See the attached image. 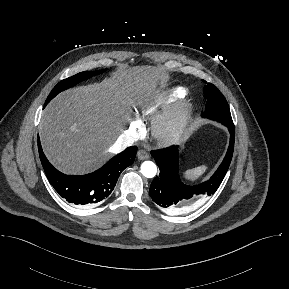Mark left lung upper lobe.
Returning <instances> with one entry per match:
<instances>
[{
  "mask_svg": "<svg viewBox=\"0 0 289 289\" xmlns=\"http://www.w3.org/2000/svg\"><path fill=\"white\" fill-rule=\"evenodd\" d=\"M204 97L207 99L203 117L216 120L222 124L233 123L228 103L216 86L208 83L204 87Z\"/></svg>",
  "mask_w": 289,
  "mask_h": 289,
  "instance_id": "left-lung-upper-lobe-1",
  "label": "left lung upper lobe"
}]
</instances>
